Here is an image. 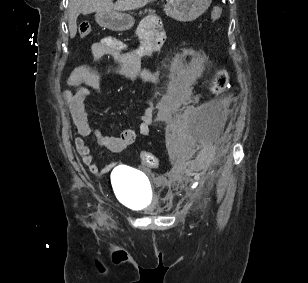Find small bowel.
Returning a JSON list of instances; mask_svg holds the SVG:
<instances>
[{"mask_svg":"<svg viewBox=\"0 0 308 283\" xmlns=\"http://www.w3.org/2000/svg\"><path fill=\"white\" fill-rule=\"evenodd\" d=\"M138 34L141 42L137 49L129 50L118 39L104 37L92 44V55L96 59L111 57L117 61L120 66L112 72V75L115 77L128 80L140 79L145 82L155 83L158 80V76L143 69L141 60L157 48L154 44L157 36L163 39L161 22L155 17L145 19L139 26ZM104 80V77L94 68L80 66L75 68L67 78V85L73 87L74 92L72 93L69 90H64L63 92L69 106L73 124L78 133V136L74 139L75 149L83 163L94 174L108 173L113 168V164L99 167L94 162V156L86 144L85 138H96L101 145L113 153L123 151L134 143L136 139V133L132 129H124L118 136H110L103 134L90 125L85 109V100L91 92L85 86L100 90L104 86ZM187 99L188 94L185 91L167 92L158 102L155 109L147 107L141 112L139 117V133L142 136H148L155 114L158 119L165 120L179 109Z\"/></svg>","mask_w":308,"mask_h":283,"instance_id":"small-bowel-1","label":"small bowel"}]
</instances>
